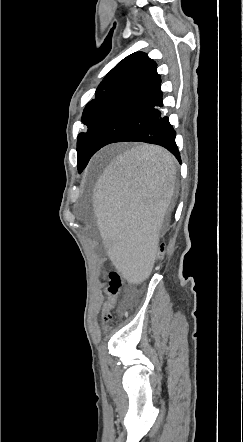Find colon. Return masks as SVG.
Wrapping results in <instances>:
<instances>
[{"label":"colon","instance_id":"1","mask_svg":"<svg viewBox=\"0 0 243 442\" xmlns=\"http://www.w3.org/2000/svg\"><path fill=\"white\" fill-rule=\"evenodd\" d=\"M168 239L163 237L161 239L160 246L157 250L152 252L153 261L156 263L161 262L165 257V253L168 251ZM104 277L108 278V285L105 289V300L103 302L101 321L103 324H107L112 318V312L117 304L118 298L122 291L123 285L127 283L125 278H121L120 273L115 267L109 266L104 272Z\"/></svg>","mask_w":243,"mask_h":442}]
</instances>
